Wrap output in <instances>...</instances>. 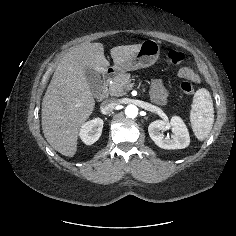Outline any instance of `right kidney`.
Wrapping results in <instances>:
<instances>
[{
    "mask_svg": "<svg viewBox=\"0 0 236 236\" xmlns=\"http://www.w3.org/2000/svg\"><path fill=\"white\" fill-rule=\"evenodd\" d=\"M103 120L95 118L85 123L80 129V138L86 145L95 143L101 136Z\"/></svg>",
    "mask_w": 236,
    "mask_h": 236,
    "instance_id": "1",
    "label": "right kidney"
}]
</instances>
